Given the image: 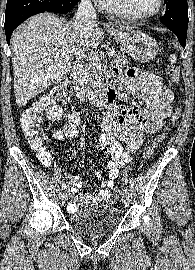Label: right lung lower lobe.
Returning a JSON list of instances; mask_svg holds the SVG:
<instances>
[{"instance_id":"right-lung-lower-lobe-1","label":"right lung lower lobe","mask_w":195,"mask_h":270,"mask_svg":"<svg viewBox=\"0 0 195 270\" xmlns=\"http://www.w3.org/2000/svg\"><path fill=\"white\" fill-rule=\"evenodd\" d=\"M79 0H72L75 5ZM60 0H7L5 12V34L9 45L14 29L27 18L43 12H56ZM74 5V6H75Z\"/></svg>"}]
</instances>
